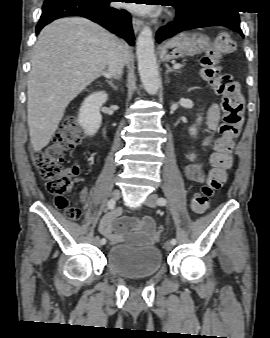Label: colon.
Instances as JSON below:
<instances>
[{"label": "colon", "mask_w": 270, "mask_h": 338, "mask_svg": "<svg viewBox=\"0 0 270 338\" xmlns=\"http://www.w3.org/2000/svg\"><path fill=\"white\" fill-rule=\"evenodd\" d=\"M235 50V42L228 34L214 38L207 53L201 58L202 77L209 81L214 91L222 97L223 119L220 135L214 141L211 154V169L207 182L192 197V210L206 213L214 192L221 189L227 181L228 171L232 166L231 152L244 121V107L239 85L230 74L222 73L220 60ZM85 136V131L75 117L68 118L54 135L47 147L32 154V162L51 194L55 206L73 220L82 216L80 204H68L64 196L73 187L75 181L74 167H64L65 154L72 151ZM127 228H137L138 224L127 222Z\"/></svg>", "instance_id": "1"}]
</instances>
